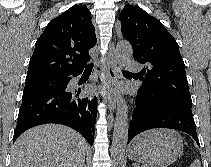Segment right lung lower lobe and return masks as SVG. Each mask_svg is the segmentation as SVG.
<instances>
[{"instance_id": "98d812e1", "label": "right lung lower lobe", "mask_w": 211, "mask_h": 167, "mask_svg": "<svg viewBox=\"0 0 211 167\" xmlns=\"http://www.w3.org/2000/svg\"><path fill=\"white\" fill-rule=\"evenodd\" d=\"M83 70L57 76L64 86L57 89L23 93L13 142L26 130L41 124L57 123L78 131L92 144L97 115V98L81 97V89H69L71 76Z\"/></svg>"}]
</instances>
